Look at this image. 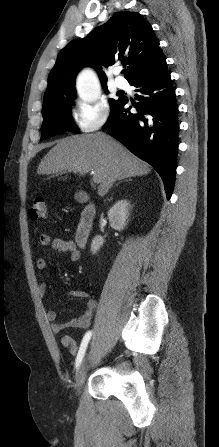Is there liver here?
Returning <instances> with one entry per match:
<instances>
[{"mask_svg":"<svg viewBox=\"0 0 219 447\" xmlns=\"http://www.w3.org/2000/svg\"><path fill=\"white\" fill-rule=\"evenodd\" d=\"M67 170L80 176L94 171L98 194L104 196L115 181L147 175L151 168L110 136L97 132L58 140L40 162L37 173L58 175Z\"/></svg>","mask_w":219,"mask_h":447,"instance_id":"6515ba94","label":"liver"}]
</instances>
